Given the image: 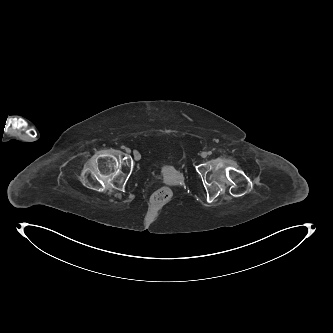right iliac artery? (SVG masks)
<instances>
[{
    "label": "right iliac artery",
    "instance_id": "1",
    "mask_svg": "<svg viewBox=\"0 0 333 333\" xmlns=\"http://www.w3.org/2000/svg\"><path fill=\"white\" fill-rule=\"evenodd\" d=\"M122 149H125V146H121Z\"/></svg>",
    "mask_w": 333,
    "mask_h": 333
}]
</instances>
